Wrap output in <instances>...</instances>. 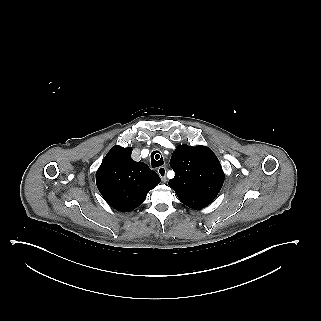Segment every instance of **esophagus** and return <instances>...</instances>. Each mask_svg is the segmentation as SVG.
Here are the masks:
<instances>
[{
	"mask_svg": "<svg viewBox=\"0 0 321 321\" xmlns=\"http://www.w3.org/2000/svg\"><path fill=\"white\" fill-rule=\"evenodd\" d=\"M166 168L165 167H159L158 168V174L161 178V180L166 183L167 182V178H166Z\"/></svg>",
	"mask_w": 321,
	"mask_h": 321,
	"instance_id": "1",
	"label": "esophagus"
}]
</instances>
